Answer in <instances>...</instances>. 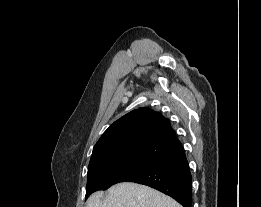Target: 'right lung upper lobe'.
<instances>
[{"mask_svg": "<svg viewBox=\"0 0 261 207\" xmlns=\"http://www.w3.org/2000/svg\"><path fill=\"white\" fill-rule=\"evenodd\" d=\"M183 150L170 121L158 112L141 107L109 126L94 146L89 165L126 157L161 161Z\"/></svg>", "mask_w": 261, "mask_h": 207, "instance_id": "obj_1", "label": "right lung upper lobe"}]
</instances>
